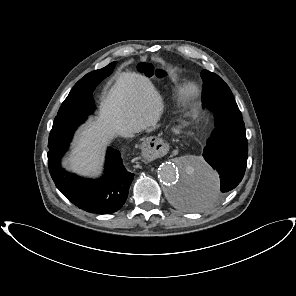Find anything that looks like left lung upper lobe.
Returning <instances> with one entry per match:
<instances>
[{
    "mask_svg": "<svg viewBox=\"0 0 296 296\" xmlns=\"http://www.w3.org/2000/svg\"><path fill=\"white\" fill-rule=\"evenodd\" d=\"M201 77L203 85V101L211 98L217 99H234L228 85L215 73L203 70Z\"/></svg>",
    "mask_w": 296,
    "mask_h": 296,
    "instance_id": "left-lung-upper-lobe-1",
    "label": "left lung upper lobe"
}]
</instances>
